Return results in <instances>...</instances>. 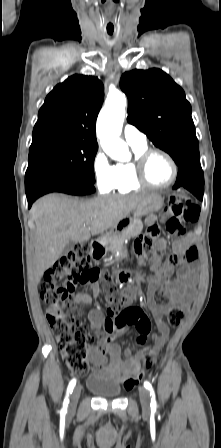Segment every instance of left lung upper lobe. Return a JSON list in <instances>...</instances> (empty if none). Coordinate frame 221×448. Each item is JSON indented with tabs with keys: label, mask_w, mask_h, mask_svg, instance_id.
<instances>
[{
	"label": "left lung upper lobe",
	"mask_w": 221,
	"mask_h": 448,
	"mask_svg": "<svg viewBox=\"0 0 221 448\" xmlns=\"http://www.w3.org/2000/svg\"><path fill=\"white\" fill-rule=\"evenodd\" d=\"M128 97V122L166 151L180 169L200 165L191 105L183 89L160 69L133 70L122 75Z\"/></svg>",
	"instance_id": "left-lung-upper-lobe-1"
}]
</instances>
